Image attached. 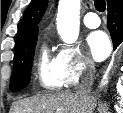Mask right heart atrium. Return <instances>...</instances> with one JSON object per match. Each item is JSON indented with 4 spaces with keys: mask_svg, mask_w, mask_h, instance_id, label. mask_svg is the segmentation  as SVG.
<instances>
[{
    "mask_svg": "<svg viewBox=\"0 0 123 113\" xmlns=\"http://www.w3.org/2000/svg\"><path fill=\"white\" fill-rule=\"evenodd\" d=\"M57 69L65 86L78 83L81 76L94 69L93 62L77 47L62 46L56 56Z\"/></svg>",
    "mask_w": 123,
    "mask_h": 113,
    "instance_id": "right-heart-atrium-1",
    "label": "right heart atrium"
}]
</instances>
